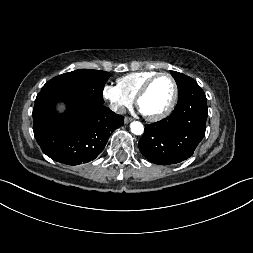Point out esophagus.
<instances>
[{
	"label": "esophagus",
	"instance_id": "obj_1",
	"mask_svg": "<svg viewBox=\"0 0 253 253\" xmlns=\"http://www.w3.org/2000/svg\"><path fill=\"white\" fill-rule=\"evenodd\" d=\"M133 119L131 117H125L124 118V123L128 124L129 122H131Z\"/></svg>",
	"mask_w": 253,
	"mask_h": 253
}]
</instances>
